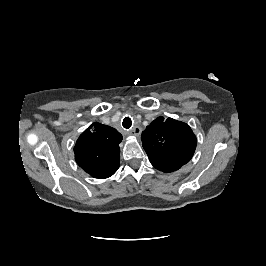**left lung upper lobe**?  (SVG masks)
<instances>
[{"label": "left lung upper lobe", "instance_id": "left-lung-upper-lobe-1", "mask_svg": "<svg viewBox=\"0 0 266 266\" xmlns=\"http://www.w3.org/2000/svg\"><path fill=\"white\" fill-rule=\"evenodd\" d=\"M141 139L151 164L166 173L176 171L189 162L197 145L189 125L163 117L155 119L142 132Z\"/></svg>", "mask_w": 266, "mask_h": 266}]
</instances>
